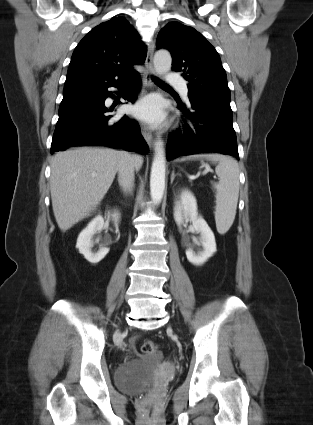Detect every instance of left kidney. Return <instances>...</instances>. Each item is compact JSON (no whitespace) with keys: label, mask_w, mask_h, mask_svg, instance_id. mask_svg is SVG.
Masks as SVG:
<instances>
[{"label":"left kidney","mask_w":313,"mask_h":425,"mask_svg":"<svg viewBox=\"0 0 313 425\" xmlns=\"http://www.w3.org/2000/svg\"><path fill=\"white\" fill-rule=\"evenodd\" d=\"M174 219L180 230L183 221L190 220L195 232L200 234L203 250L195 253L192 248H188L186 256L192 264L202 265L216 252V242L212 230L206 221L198 215L197 202L190 191L182 190L179 201H176L174 207Z\"/></svg>","instance_id":"obj_1"}]
</instances>
